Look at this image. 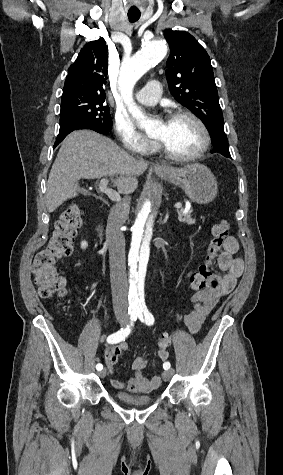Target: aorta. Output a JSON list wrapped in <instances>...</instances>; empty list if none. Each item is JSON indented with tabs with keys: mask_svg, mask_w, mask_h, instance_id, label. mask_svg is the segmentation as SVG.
<instances>
[{
	"mask_svg": "<svg viewBox=\"0 0 283 475\" xmlns=\"http://www.w3.org/2000/svg\"><path fill=\"white\" fill-rule=\"evenodd\" d=\"M164 40H153L131 58L122 63L118 80L130 114L146 132H154L158 123L147 118L134 102L132 92L136 82L167 54ZM165 201V189L161 182L149 183L142 193L135 218L131 225V244L128 254L130 273L129 304L140 309L145 305L144 284L150 257L151 240L159 222Z\"/></svg>",
	"mask_w": 283,
	"mask_h": 475,
	"instance_id": "obj_1",
	"label": "aorta"
}]
</instances>
